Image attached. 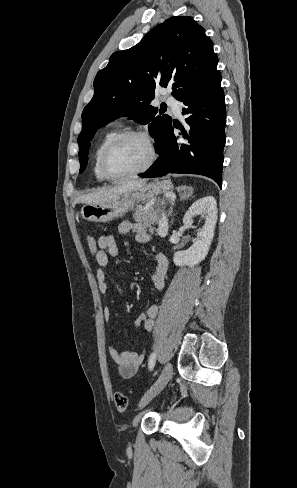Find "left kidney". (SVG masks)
I'll list each match as a JSON object with an SVG mask.
<instances>
[{"label":"left kidney","mask_w":297,"mask_h":488,"mask_svg":"<svg viewBox=\"0 0 297 488\" xmlns=\"http://www.w3.org/2000/svg\"><path fill=\"white\" fill-rule=\"evenodd\" d=\"M204 214L206 221L198 230L197 238L192 246L185 251L174 253L173 262L176 266L187 265L193 267L205 259L214 237L215 225L217 222V204L213 196H206L196 200L185 213L183 223L187 227H193V218Z\"/></svg>","instance_id":"obj_1"}]
</instances>
